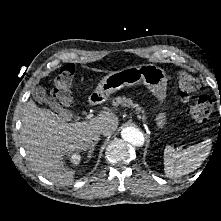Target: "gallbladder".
I'll return each instance as SVG.
<instances>
[{
    "label": "gallbladder",
    "instance_id": "gallbladder-1",
    "mask_svg": "<svg viewBox=\"0 0 221 221\" xmlns=\"http://www.w3.org/2000/svg\"><path fill=\"white\" fill-rule=\"evenodd\" d=\"M32 95L37 102L47 104L52 110L58 112L63 118L68 119L72 117L70 111L61 108L55 100L47 96L46 90L43 87L37 86L34 88L32 90Z\"/></svg>",
    "mask_w": 221,
    "mask_h": 221
}]
</instances>
